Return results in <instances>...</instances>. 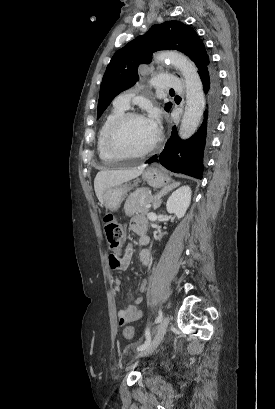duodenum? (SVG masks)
Wrapping results in <instances>:
<instances>
[{"label": "duodenum", "instance_id": "410a0bca", "mask_svg": "<svg viewBox=\"0 0 275 409\" xmlns=\"http://www.w3.org/2000/svg\"><path fill=\"white\" fill-rule=\"evenodd\" d=\"M135 231L139 234H144L146 231V224H139L136 226Z\"/></svg>", "mask_w": 275, "mask_h": 409}]
</instances>
